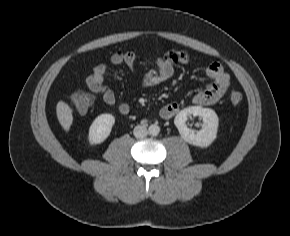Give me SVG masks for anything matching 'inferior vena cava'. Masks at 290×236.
Listing matches in <instances>:
<instances>
[{
  "label": "inferior vena cava",
  "mask_w": 290,
  "mask_h": 236,
  "mask_svg": "<svg viewBox=\"0 0 290 236\" xmlns=\"http://www.w3.org/2000/svg\"><path fill=\"white\" fill-rule=\"evenodd\" d=\"M148 131L145 126L137 125L133 130V134L136 138H143L147 135Z\"/></svg>",
  "instance_id": "inferior-vena-cava-1"
}]
</instances>
